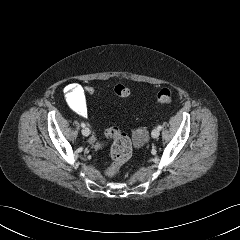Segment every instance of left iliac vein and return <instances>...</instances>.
<instances>
[{
	"label": "left iliac vein",
	"instance_id": "4c4485c4",
	"mask_svg": "<svg viewBox=\"0 0 240 240\" xmlns=\"http://www.w3.org/2000/svg\"><path fill=\"white\" fill-rule=\"evenodd\" d=\"M151 135L153 138H158L160 135V132L158 129H153Z\"/></svg>",
	"mask_w": 240,
	"mask_h": 240
}]
</instances>
